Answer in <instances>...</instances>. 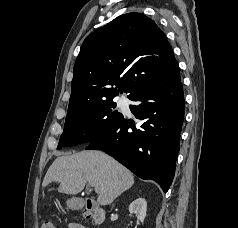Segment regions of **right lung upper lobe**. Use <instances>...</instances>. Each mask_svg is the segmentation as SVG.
<instances>
[{"instance_id":"right-lung-upper-lobe-1","label":"right lung upper lobe","mask_w":238,"mask_h":228,"mask_svg":"<svg viewBox=\"0 0 238 228\" xmlns=\"http://www.w3.org/2000/svg\"><path fill=\"white\" fill-rule=\"evenodd\" d=\"M68 112L167 84L179 66L165 34L141 13L121 15L90 34L77 57Z\"/></svg>"}]
</instances>
